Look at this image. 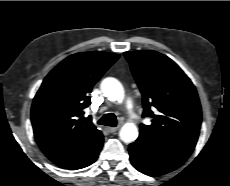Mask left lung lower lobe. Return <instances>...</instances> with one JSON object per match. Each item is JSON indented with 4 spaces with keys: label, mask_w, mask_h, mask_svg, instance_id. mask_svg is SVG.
<instances>
[{
    "label": "left lung lower lobe",
    "mask_w": 230,
    "mask_h": 186,
    "mask_svg": "<svg viewBox=\"0 0 230 186\" xmlns=\"http://www.w3.org/2000/svg\"><path fill=\"white\" fill-rule=\"evenodd\" d=\"M193 149L157 142L140 136L129 145L132 165L149 176H159L173 171L190 156Z\"/></svg>",
    "instance_id": "0a47b994"
}]
</instances>
